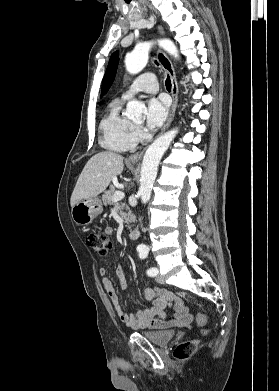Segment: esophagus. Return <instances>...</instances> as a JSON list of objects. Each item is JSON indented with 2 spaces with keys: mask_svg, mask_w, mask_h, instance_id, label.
<instances>
[{
  "mask_svg": "<svg viewBox=\"0 0 279 391\" xmlns=\"http://www.w3.org/2000/svg\"><path fill=\"white\" fill-rule=\"evenodd\" d=\"M158 31L161 35L164 34V30H163L162 26H158ZM157 59H158L160 65L162 66V68L170 76L171 84H172V89H171L172 105L169 110L168 119H167L164 127L161 130V132H164L171 125V123L174 119V116H175V111H176L177 104H178V84H177L176 75H175L173 65H172L170 59L168 58V56L166 55V53L164 51H162L161 49H159L157 52ZM144 151H145V149L129 156L128 161L133 162V163L139 162L142 159Z\"/></svg>",
  "mask_w": 279,
  "mask_h": 391,
  "instance_id": "obj_1",
  "label": "esophagus"
}]
</instances>
